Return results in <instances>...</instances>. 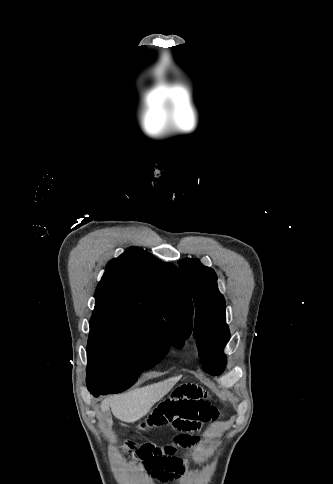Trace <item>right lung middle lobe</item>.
I'll return each instance as SVG.
<instances>
[{
	"label": "right lung middle lobe",
	"instance_id": "1",
	"mask_svg": "<svg viewBox=\"0 0 333 484\" xmlns=\"http://www.w3.org/2000/svg\"><path fill=\"white\" fill-rule=\"evenodd\" d=\"M191 333L180 323H153L121 315H92L87 346V387L107 393L129 388L155 366L170 346L181 348Z\"/></svg>",
	"mask_w": 333,
	"mask_h": 484
}]
</instances>
